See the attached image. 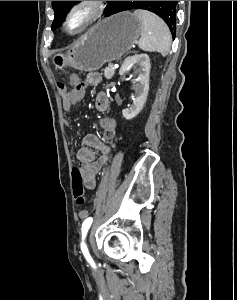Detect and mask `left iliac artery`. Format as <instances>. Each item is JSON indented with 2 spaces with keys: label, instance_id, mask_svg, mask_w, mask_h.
<instances>
[{
  "label": "left iliac artery",
  "instance_id": "1",
  "mask_svg": "<svg viewBox=\"0 0 237 300\" xmlns=\"http://www.w3.org/2000/svg\"><path fill=\"white\" fill-rule=\"evenodd\" d=\"M92 221H93V219L91 217H89L82 224V229H81L82 230L81 250H82L85 258L87 259V261L94 267L95 264H94L90 254H89V251H88V248H87L86 244L84 243V239H85V237L87 235V232H88V230H89V228L92 224Z\"/></svg>",
  "mask_w": 237,
  "mask_h": 300
}]
</instances>
